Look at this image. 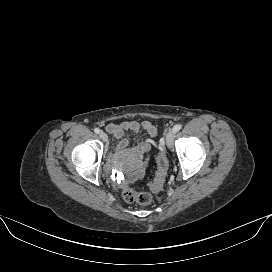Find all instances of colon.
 I'll list each match as a JSON object with an SVG mask.
<instances>
[{"label": "colon", "mask_w": 272, "mask_h": 272, "mask_svg": "<svg viewBox=\"0 0 272 272\" xmlns=\"http://www.w3.org/2000/svg\"><path fill=\"white\" fill-rule=\"evenodd\" d=\"M157 162V171L153 183L151 184V189L153 191H159L166 179L168 171V160L161 149L156 158ZM122 196L125 201L129 203H138L140 205H149L153 201V197L150 193L147 192H137L128 184H123L121 186Z\"/></svg>", "instance_id": "5ec220e1"}]
</instances>
